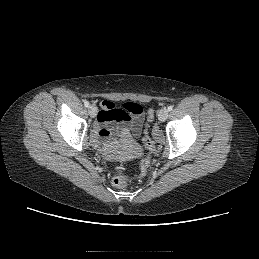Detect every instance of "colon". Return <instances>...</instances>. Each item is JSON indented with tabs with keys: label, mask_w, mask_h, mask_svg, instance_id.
I'll return each mask as SVG.
<instances>
[{
	"label": "colon",
	"mask_w": 259,
	"mask_h": 259,
	"mask_svg": "<svg viewBox=\"0 0 259 259\" xmlns=\"http://www.w3.org/2000/svg\"><path fill=\"white\" fill-rule=\"evenodd\" d=\"M129 108L134 112L137 111V107L134 105H130ZM154 117H155L154 110L152 109L148 110L146 115V126L144 129V136H143V143L146 149V153L140 162V175H143L146 172V169L150 162L151 155L155 150V143L150 138L148 133L149 123H151L154 120ZM128 180H129V177L126 174L125 166L120 165L118 167V175L114 179L115 186L119 188H124L127 186Z\"/></svg>",
	"instance_id": "1"
}]
</instances>
